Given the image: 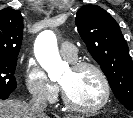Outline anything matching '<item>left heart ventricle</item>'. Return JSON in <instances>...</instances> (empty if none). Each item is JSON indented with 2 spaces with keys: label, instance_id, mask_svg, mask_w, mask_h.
Instances as JSON below:
<instances>
[{
  "label": "left heart ventricle",
  "instance_id": "obj_1",
  "mask_svg": "<svg viewBox=\"0 0 133 118\" xmlns=\"http://www.w3.org/2000/svg\"><path fill=\"white\" fill-rule=\"evenodd\" d=\"M60 84L69 99L78 106H92L103 98L101 80L92 69L74 70L70 67L60 79Z\"/></svg>",
  "mask_w": 133,
  "mask_h": 118
}]
</instances>
